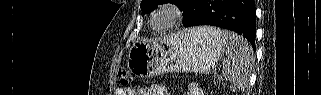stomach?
I'll return each mask as SVG.
<instances>
[{"label": "stomach", "instance_id": "stomach-1", "mask_svg": "<svg viewBox=\"0 0 321 95\" xmlns=\"http://www.w3.org/2000/svg\"><path fill=\"white\" fill-rule=\"evenodd\" d=\"M223 43L196 28L155 41L135 42L129 50L127 66L140 77L165 72L210 73L223 52Z\"/></svg>", "mask_w": 321, "mask_h": 95}]
</instances>
